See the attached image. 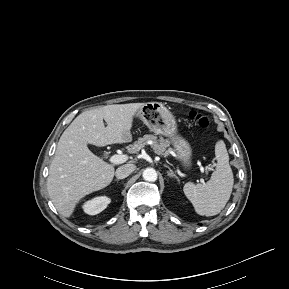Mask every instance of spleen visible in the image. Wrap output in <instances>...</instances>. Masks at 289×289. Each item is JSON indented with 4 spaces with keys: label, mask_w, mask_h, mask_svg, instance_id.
Returning <instances> with one entry per match:
<instances>
[{
    "label": "spleen",
    "mask_w": 289,
    "mask_h": 289,
    "mask_svg": "<svg viewBox=\"0 0 289 289\" xmlns=\"http://www.w3.org/2000/svg\"><path fill=\"white\" fill-rule=\"evenodd\" d=\"M215 155L217 164L210 180L196 185L188 182L183 187L184 194L196 213L207 217L217 215L225 207L234 184L229 156L223 141L216 144Z\"/></svg>",
    "instance_id": "spleen-1"
}]
</instances>
